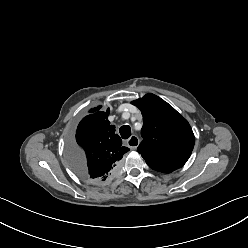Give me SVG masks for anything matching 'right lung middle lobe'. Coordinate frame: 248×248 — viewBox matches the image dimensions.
<instances>
[{
	"instance_id": "dd1d6c3e",
	"label": "right lung middle lobe",
	"mask_w": 248,
	"mask_h": 248,
	"mask_svg": "<svg viewBox=\"0 0 248 248\" xmlns=\"http://www.w3.org/2000/svg\"><path fill=\"white\" fill-rule=\"evenodd\" d=\"M67 156H68V160H69V163L71 165V167L73 168V170L79 174L80 172V168L79 165H78V161L80 159L83 160V153L82 151H80L76 145L74 143H70L68 145V149H67Z\"/></svg>"
}]
</instances>
